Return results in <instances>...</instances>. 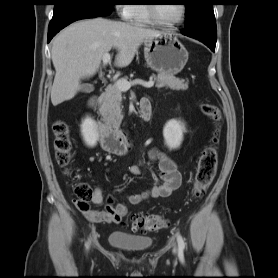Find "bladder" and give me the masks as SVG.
<instances>
[{
    "label": "bladder",
    "mask_w": 278,
    "mask_h": 278,
    "mask_svg": "<svg viewBox=\"0 0 278 278\" xmlns=\"http://www.w3.org/2000/svg\"><path fill=\"white\" fill-rule=\"evenodd\" d=\"M110 246L131 252H140L149 249L152 239L143 235H132L121 231H114L108 237Z\"/></svg>",
    "instance_id": "bladder-1"
}]
</instances>
